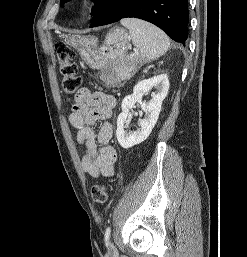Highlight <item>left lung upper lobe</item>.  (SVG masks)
<instances>
[{"instance_id":"obj_1","label":"left lung upper lobe","mask_w":247,"mask_h":257,"mask_svg":"<svg viewBox=\"0 0 247 257\" xmlns=\"http://www.w3.org/2000/svg\"><path fill=\"white\" fill-rule=\"evenodd\" d=\"M68 1H70V0H61V1H60V6L63 7V5H64L66 2H68ZM104 1H105V0H94L96 6H95V9L92 11V14L95 13V11L100 7V5H101Z\"/></svg>"}]
</instances>
